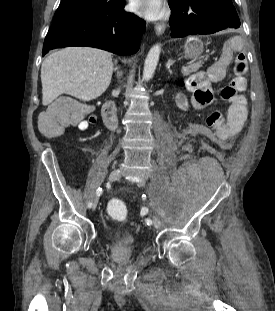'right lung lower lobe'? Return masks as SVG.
<instances>
[{
  "label": "right lung lower lobe",
  "instance_id": "98d812e1",
  "mask_svg": "<svg viewBox=\"0 0 275 311\" xmlns=\"http://www.w3.org/2000/svg\"><path fill=\"white\" fill-rule=\"evenodd\" d=\"M124 0L107 9L54 21L44 40L42 55L69 46H88L119 55H131L140 48L145 22L123 11Z\"/></svg>",
  "mask_w": 275,
  "mask_h": 311
}]
</instances>
